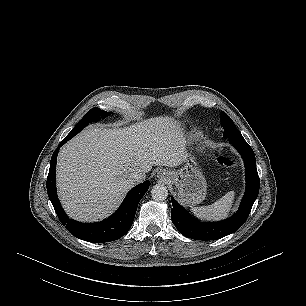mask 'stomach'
Wrapping results in <instances>:
<instances>
[{
  "label": "stomach",
  "instance_id": "stomach-1",
  "mask_svg": "<svg viewBox=\"0 0 306 306\" xmlns=\"http://www.w3.org/2000/svg\"><path fill=\"white\" fill-rule=\"evenodd\" d=\"M171 182L178 189V196L185 205L192 206L205 199L207 183L193 158L187 156L183 166L170 171Z\"/></svg>",
  "mask_w": 306,
  "mask_h": 306
}]
</instances>
